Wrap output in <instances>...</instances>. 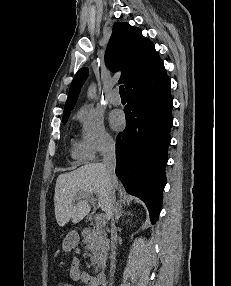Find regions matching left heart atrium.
<instances>
[{
    "instance_id": "obj_1",
    "label": "left heart atrium",
    "mask_w": 231,
    "mask_h": 286,
    "mask_svg": "<svg viewBox=\"0 0 231 286\" xmlns=\"http://www.w3.org/2000/svg\"><path fill=\"white\" fill-rule=\"evenodd\" d=\"M109 121H110L111 127L116 131L121 130L125 123L124 116L119 111L112 112L110 114Z\"/></svg>"
}]
</instances>
